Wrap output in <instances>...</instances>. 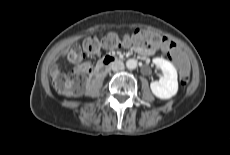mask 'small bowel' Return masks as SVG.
I'll use <instances>...</instances> for the list:
<instances>
[{"label": "small bowel", "mask_w": 230, "mask_h": 155, "mask_svg": "<svg viewBox=\"0 0 230 155\" xmlns=\"http://www.w3.org/2000/svg\"><path fill=\"white\" fill-rule=\"evenodd\" d=\"M134 49L141 55H151L155 51V47H145L140 45H135ZM162 49L165 50L164 48ZM185 66L188 68L186 61H185Z\"/></svg>", "instance_id": "obj_1"}]
</instances>
